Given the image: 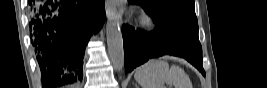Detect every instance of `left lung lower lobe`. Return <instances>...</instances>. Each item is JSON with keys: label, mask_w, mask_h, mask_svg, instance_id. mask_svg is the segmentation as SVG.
Returning <instances> with one entry per match:
<instances>
[{"label": "left lung lower lobe", "mask_w": 267, "mask_h": 88, "mask_svg": "<svg viewBox=\"0 0 267 88\" xmlns=\"http://www.w3.org/2000/svg\"><path fill=\"white\" fill-rule=\"evenodd\" d=\"M122 35L125 73L132 71L150 58L168 54L186 59L205 75L202 67V47L198 38V29L157 24L156 29L148 33L124 25Z\"/></svg>", "instance_id": "obj_1"}]
</instances>
